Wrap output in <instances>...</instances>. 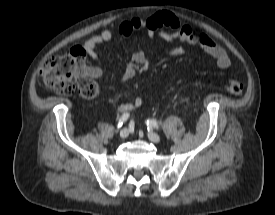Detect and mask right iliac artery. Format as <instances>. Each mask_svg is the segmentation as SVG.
<instances>
[{"label": "right iliac artery", "mask_w": 275, "mask_h": 215, "mask_svg": "<svg viewBox=\"0 0 275 215\" xmlns=\"http://www.w3.org/2000/svg\"><path fill=\"white\" fill-rule=\"evenodd\" d=\"M128 118H129V113H124L118 121L117 129L121 128L122 125L128 120Z\"/></svg>", "instance_id": "1"}]
</instances>
